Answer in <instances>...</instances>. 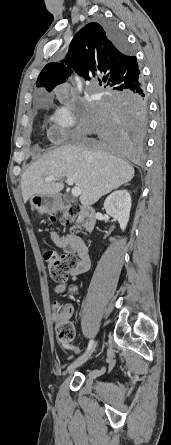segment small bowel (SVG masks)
<instances>
[{
  "instance_id": "c3829d8e",
  "label": "small bowel",
  "mask_w": 171,
  "mask_h": 445,
  "mask_svg": "<svg viewBox=\"0 0 171 445\" xmlns=\"http://www.w3.org/2000/svg\"><path fill=\"white\" fill-rule=\"evenodd\" d=\"M52 242L60 249H62L66 254L75 255L78 260L75 266L69 271L72 281H76L77 277L83 273H86L91 267L90 253L87 246L84 244L82 239L74 234L60 235L57 231L51 232ZM65 285L60 284L56 287V291L61 293L64 291ZM70 309V308H69ZM71 314V309H70ZM52 319L54 322L57 321L58 317L55 312L52 314ZM66 350H72L75 353L79 352V348L71 345L65 346Z\"/></svg>"
}]
</instances>
